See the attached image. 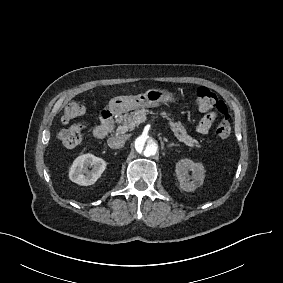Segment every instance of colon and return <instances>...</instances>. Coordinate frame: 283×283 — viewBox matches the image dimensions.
<instances>
[{
	"label": "colon",
	"mask_w": 283,
	"mask_h": 283,
	"mask_svg": "<svg viewBox=\"0 0 283 283\" xmlns=\"http://www.w3.org/2000/svg\"><path fill=\"white\" fill-rule=\"evenodd\" d=\"M194 105L200 111L215 110L219 115L216 123V137L219 140H226L231 133L230 127V112L226 104L219 98V96L212 90L206 87H200L194 94ZM85 115V108L78 100L70 101L62 111V122L71 126L60 130L58 133V140L65 148H74L82 140L83 130L86 123L82 120ZM78 120V122L73 123Z\"/></svg>",
	"instance_id": "colon-1"
}]
</instances>
